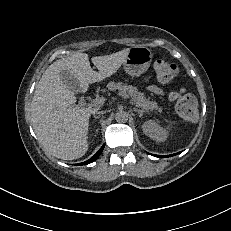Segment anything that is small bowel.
<instances>
[{
    "label": "small bowel",
    "instance_id": "1",
    "mask_svg": "<svg viewBox=\"0 0 231 231\" xmlns=\"http://www.w3.org/2000/svg\"><path fill=\"white\" fill-rule=\"evenodd\" d=\"M148 90L154 94H157V95H163V90L158 87L157 85H149L148 86Z\"/></svg>",
    "mask_w": 231,
    "mask_h": 231
}]
</instances>
